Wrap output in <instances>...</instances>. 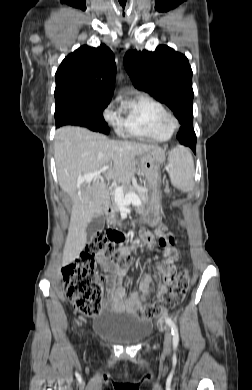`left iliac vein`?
I'll list each match as a JSON object with an SVG mask.
<instances>
[{
    "mask_svg": "<svg viewBox=\"0 0 252 390\" xmlns=\"http://www.w3.org/2000/svg\"><path fill=\"white\" fill-rule=\"evenodd\" d=\"M164 332H165V339H164V351L165 352H170L171 350V340H172V334L171 330L168 326L164 327Z\"/></svg>",
    "mask_w": 252,
    "mask_h": 390,
    "instance_id": "4c4485c4",
    "label": "left iliac vein"
}]
</instances>
